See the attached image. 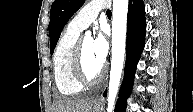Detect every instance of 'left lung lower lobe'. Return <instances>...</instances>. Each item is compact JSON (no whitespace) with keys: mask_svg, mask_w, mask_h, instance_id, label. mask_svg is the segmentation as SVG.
<instances>
[{"mask_svg":"<svg viewBox=\"0 0 193 112\" xmlns=\"http://www.w3.org/2000/svg\"><path fill=\"white\" fill-rule=\"evenodd\" d=\"M146 22L143 0H129L127 18V51L124 80L120 89L115 112H124L126 99L130 95L135 70L145 45ZM107 91L104 92V96Z\"/></svg>","mask_w":193,"mask_h":112,"instance_id":"1","label":"left lung lower lobe"}]
</instances>
